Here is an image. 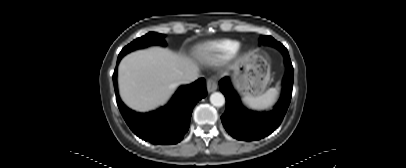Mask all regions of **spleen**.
Returning a JSON list of instances; mask_svg holds the SVG:
<instances>
[{"label":"spleen","mask_w":406,"mask_h":168,"mask_svg":"<svg viewBox=\"0 0 406 168\" xmlns=\"http://www.w3.org/2000/svg\"><path fill=\"white\" fill-rule=\"evenodd\" d=\"M278 88H270L264 94L259 96H246L242 99L243 103L254 110H263L270 108L277 99Z\"/></svg>","instance_id":"obj_1"}]
</instances>
